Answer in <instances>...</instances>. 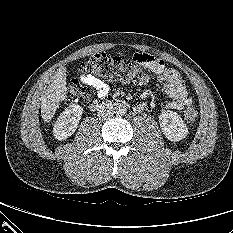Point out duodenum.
Returning <instances> with one entry per match:
<instances>
[{"instance_id":"1","label":"duodenum","mask_w":233,"mask_h":233,"mask_svg":"<svg viewBox=\"0 0 233 233\" xmlns=\"http://www.w3.org/2000/svg\"><path fill=\"white\" fill-rule=\"evenodd\" d=\"M123 104H124L123 100L117 97H114V96H107L105 98L92 102L90 105V108L92 110H99L106 106H118V105H123Z\"/></svg>"}]
</instances>
